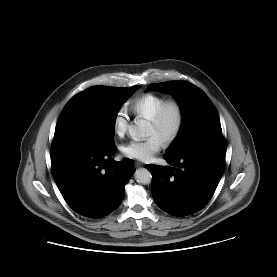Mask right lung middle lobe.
<instances>
[{"mask_svg": "<svg viewBox=\"0 0 277 277\" xmlns=\"http://www.w3.org/2000/svg\"><path fill=\"white\" fill-rule=\"evenodd\" d=\"M139 87L95 86L76 94L59 116L54 139H75L102 149L114 147L118 110Z\"/></svg>", "mask_w": 277, "mask_h": 277, "instance_id": "right-lung-middle-lobe-1", "label": "right lung middle lobe"}]
</instances>
